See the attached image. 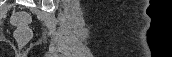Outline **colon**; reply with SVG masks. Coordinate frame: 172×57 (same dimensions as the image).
I'll list each match as a JSON object with an SVG mask.
<instances>
[{"mask_svg":"<svg viewBox=\"0 0 172 57\" xmlns=\"http://www.w3.org/2000/svg\"><path fill=\"white\" fill-rule=\"evenodd\" d=\"M30 17L24 12H17L12 17V24L16 27V38L19 44H26L31 38L29 29Z\"/></svg>","mask_w":172,"mask_h":57,"instance_id":"1","label":"colon"}]
</instances>
